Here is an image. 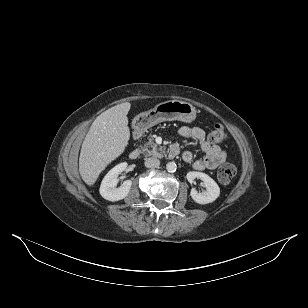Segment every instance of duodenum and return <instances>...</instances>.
Here are the masks:
<instances>
[{"instance_id": "410a0bca", "label": "duodenum", "mask_w": 308, "mask_h": 308, "mask_svg": "<svg viewBox=\"0 0 308 308\" xmlns=\"http://www.w3.org/2000/svg\"><path fill=\"white\" fill-rule=\"evenodd\" d=\"M143 133V129L141 126H136L135 130H134V138L138 139ZM179 153V147L177 145H173L171 146L170 150H169V157L173 158L176 155H178ZM140 156V151L139 149H134L130 152L129 157L131 160H136L138 159Z\"/></svg>"}]
</instances>
